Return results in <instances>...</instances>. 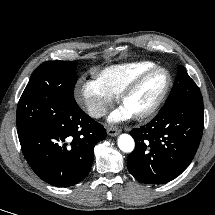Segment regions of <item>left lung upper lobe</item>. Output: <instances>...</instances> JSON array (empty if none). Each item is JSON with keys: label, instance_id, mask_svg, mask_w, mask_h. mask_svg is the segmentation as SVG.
Here are the masks:
<instances>
[{"label": "left lung upper lobe", "instance_id": "5c2ea615", "mask_svg": "<svg viewBox=\"0 0 215 215\" xmlns=\"http://www.w3.org/2000/svg\"><path fill=\"white\" fill-rule=\"evenodd\" d=\"M178 102L203 106V99L198 86L189 77L185 68L180 65L178 66L176 81L166 104Z\"/></svg>", "mask_w": 215, "mask_h": 215}]
</instances>
